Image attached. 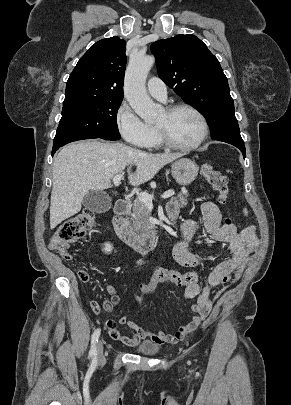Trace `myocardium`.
Instances as JSON below:
<instances>
[{
	"mask_svg": "<svg viewBox=\"0 0 291 405\" xmlns=\"http://www.w3.org/2000/svg\"><path fill=\"white\" fill-rule=\"evenodd\" d=\"M182 109H186V110L193 112L200 119L201 125H202V133H201V136L199 137V139L192 144L181 145V144H178V143H175L174 141H172L170 139V137L168 136L167 132L163 128L156 127L158 138L162 145H164L170 149L179 150V151L195 150L206 141V139L209 135V123H208L206 116L198 108H196L195 106L188 104V103H177V104L169 105L165 108V111L168 114H173L176 111H179Z\"/></svg>",
	"mask_w": 291,
	"mask_h": 405,
	"instance_id": "myocardium-1",
	"label": "myocardium"
}]
</instances>
